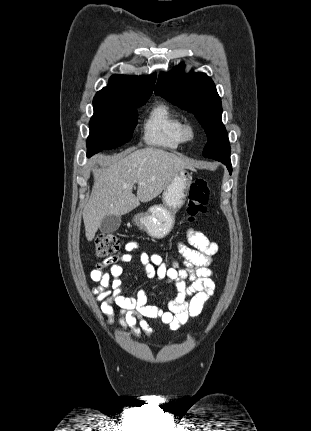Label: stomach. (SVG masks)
I'll return each mask as SVG.
<instances>
[{
	"label": "stomach",
	"instance_id": "1",
	"mask_svg": "<svg viewBox=\"0 0 311 431\" xmlns=\"http://www.w3.org/2000/svg\"><path fill=\"white\" fill-rule=\"evenodd\" d=\"M192 184V174L188 170H181L174 176L172 182L166 186L162 194V204L150 206L144 214H135L133 223L146 231L150 237L162 239L172 231L176 214L186 202Z\"/></svg>",
	"mask_w": 311,
	"mask_h": 431
}]
</instances>
